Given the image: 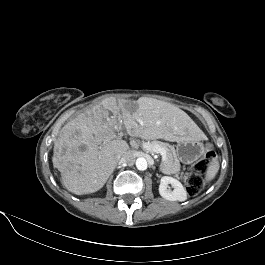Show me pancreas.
I'll return each instance as SVG.
<instances>
[{
  "instance_id": "1",
  "label": "pancreas",
  "mask_w": 265,
  "mask_h": 265,
  "mask_svg": "<svg viewBox=\"0 0 265 265\" xmlns=\"http://www.w3.org/2000/svg\"><path fill=\"white\" fill-rule=\"evenodd\" d=\"M148 143L151 145H159L160 147L166 150L167 158H166V161L160 165V170L164 174H168V175L175 174V176L178 177L180 173L179 172L180 162L177 157L175 148L168 143L157 141V140H154Z\"/></svg>"
}]
</instances>
